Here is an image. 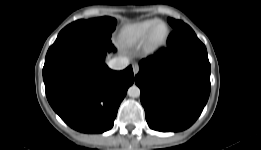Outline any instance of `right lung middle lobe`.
Returning <instances> with one entry per match:
<instances>
[{
    "instance_id": "right-lung-middle-lobe-1",
    "label": "right lung middle lobe",
    "mask_w": 261,
    "mask_h": 150,
    "mask_svg": "<svg viewBox=\"0 0 261 150\" xmlns=\"http://www.w3.org/2000/svg\"><path fill=\"white\" fill-rule=\"evenodd\" d=\"M116 23V19L107 16L89 20H78L66 26L59 33L57 40L69 36L110 38Z\"/></svg>"
}]
</instances>
